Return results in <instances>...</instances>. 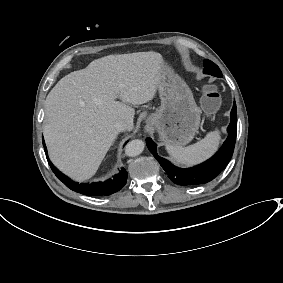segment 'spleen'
Segmentation results:
<instances>
[{
  "label": "spleen",
  "instance_id": "spleen-1",
  "mask_svg": "<svg viewBox=\"0 0 283 283\" xmlns=\"http://www.w3.org/2000/svg\"><path fill=\"white\" fill-rule=\"evenodd\" d=\"M220 139L219 130H215L193 145L187 147L166 145V150L176 163L191 166L211 157L218 149Z\"/></svg>",
  "mask_w": 283,
  "mask_h": 283
}]
</instances>
